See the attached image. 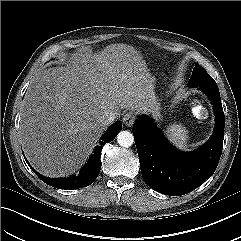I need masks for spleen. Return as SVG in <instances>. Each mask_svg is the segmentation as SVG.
<instances>
[{
	"instance_id": "obj_1",
	"label": "spleen",
	"mask_w": 241,
	"mask_h": 241,
	"mask_svg": "<svg viewBox=\"0 0 241 241\" xmlns=\"http://www.w3.org/2000/svg\"><path fill=\"white\" fill-rule=\"evenodd\" d=\"M166 136L168 140L178 149L187 150V130L181 124H173L167 127Z\"/></svg>"
}]
</instances>
